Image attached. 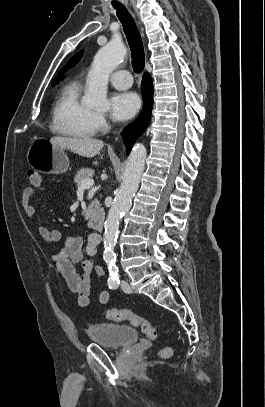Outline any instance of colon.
Here are the masks:
<instances>
[{
    "label": "colon",
    "instance_id": "obj_1",
    "mask_svg": "<svg viewBox=\"0 0 265 407\" xmlns=\"http://www.w3.org/2000/svg\"><path fill=\"white\" fill-rule=\"evenodd\" d=\"M29 185L33 189L41 190L43 188L42 176L34 170H29L28 173ZM106 318L115 322L127 321L133 326L140 327L142 333L148 339H155L157 331L155 326L147 319L133 313L127 309H110L106 313ZM173 349L169 346L164 347L160 352L159 356L162 358H168L172 355Z\"/></svg>",
    "mask_w": 265,
    "mask_h": 407
}]
</instances>
